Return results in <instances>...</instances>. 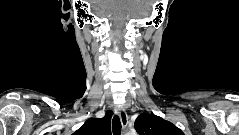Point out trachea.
<instances>
[{
	"label": "trachea",
	"instance_id": "1",
	"mask_svg": "<svg viewBox=\"0 0 239 135\" xmlns=\"http://www.w3.org/2000/svg\"><path fill=\"white\" fill-rule=\"evenodd\" d=\"M112 132H113V135H120L121 133V122L117 115L114 116L112 120Z\"/></svg>",
	"mask_w": 239,
	"mask_h": 135
}]
</instances>
